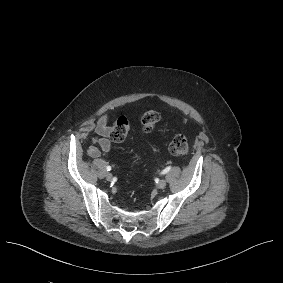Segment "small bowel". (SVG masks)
<instances>
[{
  "instance_id": "1",
  "label": "small bowel",
  "mask_w": 283,
  "mask_h": 283,
  "mask_svg": "<svg viewBox=\"0 0 283 283\" xmlns=\"http://www.w3.org/2000/svg\"><path fill=\"white\" fill-rule=\"evenodd\" d=\"M109 118L107 115L101 116L95 125V136L91 145L88 147L87 153L91 158H98L102 152H109L112 144L109 140L111 127L108 125ZM186 124V121H183Z\"/></svg>"
}]
</instances>
